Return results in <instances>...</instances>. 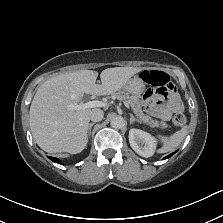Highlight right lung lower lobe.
<instances>
[{"mask_svg":"<svg viewBox=\"0 0 223 223\" xmlns=\"http://www.w3.org/2000/svg\"><path fill=\"white\" fill-rule=\"evenodd\" d=\"M53 162L61 164V162L59 161L58 158H54V157H49Z\"/></svg>","mask_w":223,"mask_h":223,"instance_id":"right-lung-lower-lobe-1","label":"right lung lower lobe"}]
</instances>
